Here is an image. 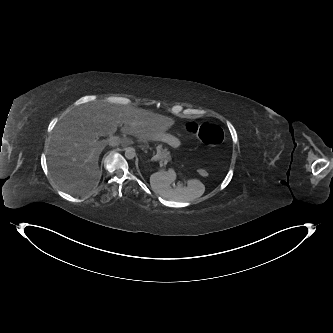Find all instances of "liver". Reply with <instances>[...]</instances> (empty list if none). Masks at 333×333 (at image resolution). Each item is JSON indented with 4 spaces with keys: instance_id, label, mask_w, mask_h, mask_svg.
<instances>
[{
    "instance_id": "1",
    "label": "liver",
    "mask_w": 333,
    "mask_h": 333,
    "mask_svg": "<svg viewBox=\"0 0 333 333\" xmlns=\"http://www.w3.org/2000/svg\"><path fill=\"white\" fill-rule=\"evenodd\" d=\"M174 122L170 117L127 103L95 100L79 105L53 130L47 158L53 180L71 194L86 193L99 183V155L118 127L123 137L112 142L127 145L132 140L126 135L144 141H162V134ZM100 136L109 138L98 141Z\"/></svg>"
}]
</instances>
